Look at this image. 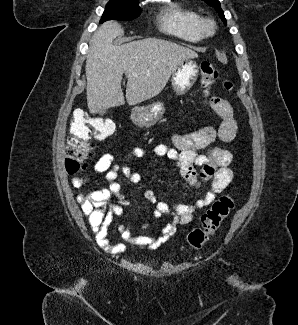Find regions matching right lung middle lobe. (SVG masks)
Returning <instances> with one entry per match:
<instances>
[{"instance_id": "obj_1", "label": "right lung middle lobe", "mask_w": 298, "mask_h": 325, "mask_svg": "<svg viewBox=\"0 0 298 325\" xmlns=\"http://www.w3.org/2000/svg\"><path fill=\"white\" fill-rule=\"evenodd\" d=\"M140 15V7L135 2L109 1L100 23L106 20H133Z\"/></svg>"}]
</instances>
